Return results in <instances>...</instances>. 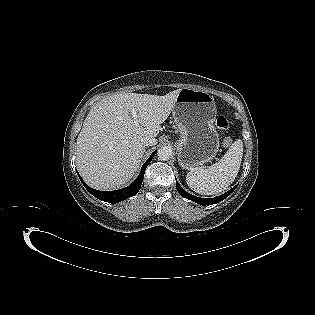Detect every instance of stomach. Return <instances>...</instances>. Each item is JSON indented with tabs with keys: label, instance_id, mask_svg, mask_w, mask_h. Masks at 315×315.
Masks as SVG:
<instances>
[{
	"label": "stomach",
	"instance_id": "obj_1",
	"mask_svg": "<svg viewBox=\"0 0 315 315\" xmlns=\"http://www.w3.org/2000/svg\"><path fill=\"white\" fill-rule=\"evenodd\" d=\"M216 113L214 97L206 91L180 90L173 117L180 132L176 148L182 168L192 170L216 157L220 147Z\"/></svg>",
	"mask_w": 315,
	"mask_h": 315
}]
</instances>
